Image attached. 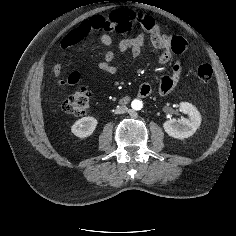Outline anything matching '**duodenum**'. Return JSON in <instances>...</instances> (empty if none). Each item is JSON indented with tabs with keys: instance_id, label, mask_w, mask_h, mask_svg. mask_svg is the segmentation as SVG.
<instances>
[{
	"instance_id": "410a0bca",
	"label": "duodenum",
	"mask_w": 236,
	"mask_h": 236,
	"mask_svg": "<svg viewBox=\"0 0 236 236\" xmlns=\"http://www.w3.org/2000/svg\"><path fill=\"white\" fill-rule=\"evenodd\" d=\"M123 103H126L127 101H128V98L127 97H124V98H122V100H121Z\"/></svg>"
}]
</instances>
